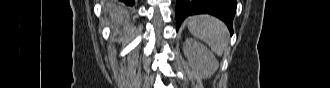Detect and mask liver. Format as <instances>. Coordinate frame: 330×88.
<instances>
[{
	"mask_svg": "<svg viewBox=\"0 0 330 88\" xmlns=\"http://www.w3.org/2000/svg\"><path fill=\"white\" fill-rule=\"evenodd\" d=\"M104 11L111 15L112 21L118 24L121 23L124 19V15L127 14L122 3L116 1H107L105 4Z\"/></svg>",
	"mask_w": 330,
	"mask_h": 88,
	"instance_id": "liver-1",
	"label": "liver"
}]
</instances>
